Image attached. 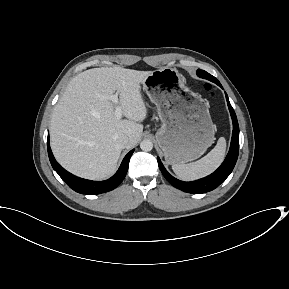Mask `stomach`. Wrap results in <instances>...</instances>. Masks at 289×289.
<instances>
[{
    "label": "stomach",
    "instance_id": "0dacf381",
    "mask_svg": "<svg viewBox=\"0 0 289 289\" xmlns=\"http://www.w3.org/2000/svg\"><path fill=\"white\" fill-rule=\"evenodd\" d=\"M142 85L162 122L156 139L166 162L184 164L202 156L215 135L207 102L185 85L175 68L153 71Z\"/></svg>",
    "mask_w": 289,
    "mask_h": 289
}]
</instances>
